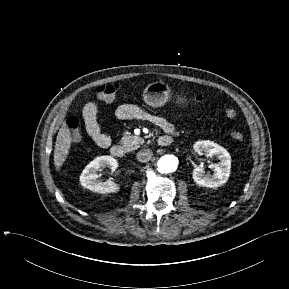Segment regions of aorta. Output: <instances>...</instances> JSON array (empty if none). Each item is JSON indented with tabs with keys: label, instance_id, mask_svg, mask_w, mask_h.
<instances>
[{
	"label": "aorta",
	"instance_id": "1",
	"mask_svg": "<svg viewBox=\"0 0 289 289\" xmlns=\"http://www.w3.org/2000/svg\"><path fill=\"white\" fill-rule=\"evenodd\" d=\"M178 165L179 160L174 155H164L157 162L158 171L162 174L175 172Z\"/></svg>",
	"mask_w": 289,
	"mask_h": 289
}]
</instances>
